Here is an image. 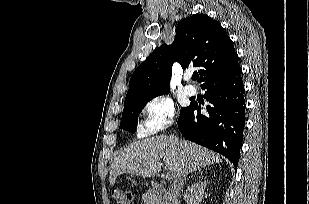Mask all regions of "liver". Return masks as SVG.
I'll return each mask as SVG.
<instances>
[{
  "label": "liver",
  "mask_w": 309,
  "mask_h": 204,
  "mask_svg": "<svg viewBox=\"0 0 309 204\" xmlns=\"http://www.w3.org/2000/svg\"><path fill=\"white\" fill-rule=\"evenodd\" d=\"M220 162V155L213 151L186 140L177 138L175 141L161 135L125 147L111 165L109 182L113 187L121 174L153 177L161 171V166L175 178L182 166L193 172Z\"/></svg>",
  "instance_id": "obj_1"
}]
</instances>
